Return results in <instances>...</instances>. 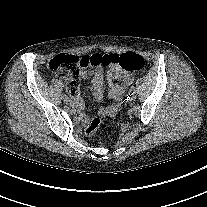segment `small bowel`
I'll return each instance as SVG.
<instances>
[{
  "label": "small bowel",
  "mask_w": 207,
  "mask_h": 207,
  "mask_svg": "<svg viewBox=\"0 0 207 207\" xmlns=\"http://www.w3.org/2000/svg\"><path fill=\"white\" fill-rule=\"evenodd\" d=\"M107 81L109 83V97L112 103L108 106L101 107L98 110L99 117L114 116L120 109L126 88L133 82V75L122 70L118 66H111L107 70ZM83 78H91L93 96L97 100H102L104 96V70L101 66L94 70L86 69L82 72ZM70 104L82 124L86 127L92 119L82 113L83 102L78 92V87L70 94Z\"/></svg>",
  "instance_id": "1"
}]
</instances>
